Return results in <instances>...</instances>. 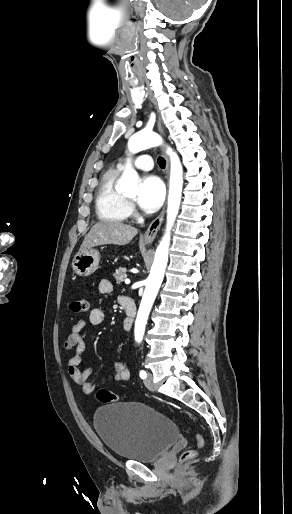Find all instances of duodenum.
<instances>
[{
	"mask_svg": "<svg viewBox=\"0 0 292 514\" xmlns=\"http://www.w3.org/2000/svg\"><path fill=\"white\" fill-rule=\"evenodd\" d=\"M120 303L127 313V317L124 320L123 328L125 331L129 332L132 328L133 319L136 313V304L134 299L129 296L120 297Z\"/></svg>",
	"mask_w": 292,
	"mask_h": 514,
	"instance_id": "1",
	"label": "duodenum"
}]
</instances>
